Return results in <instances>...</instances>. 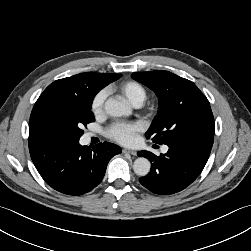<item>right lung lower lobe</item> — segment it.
<instances>
[{
    "instance_id": "obj_1",
    "label": "right lung lower lobe",
    "mask_w": 251,
    "mask_h": 251,
    "mask_svg": "<svg viewBox=\"0 0 251 251\" xmlns=\"http://www.w3.org/2000/svg\"><path fill=\"white\" fill-rule=\"evenodd\" d=\"M32 161L44 181L68 195H82L102 181L109 160L121 153L115 144L104 142L92 149L79 140L29 137Z\"/></svg>"
}]
</instances>
